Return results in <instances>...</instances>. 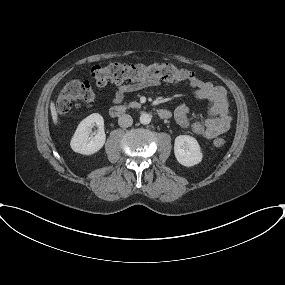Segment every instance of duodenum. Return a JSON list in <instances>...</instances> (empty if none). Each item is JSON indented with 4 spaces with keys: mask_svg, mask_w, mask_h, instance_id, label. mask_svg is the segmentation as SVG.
I'll use <instances>...</instances> for the list:
<instances>
[{
    "mask_svg": "<svg viewBox=\"0 0 285 285\" xmlns=\"http://www.w3.org/2000/svg\"><path fill=\"white\" fill-rule=\"evenodd\" d=\"M129 108L130 107L125 104H116L110 107L109 114L111 117H114V118L120 117L124 115L129 110ZM157 113L161 119H168L171 117L170 111L165 108H159L157 110Z\"/></svg>",
    "mask_w": 285,
    "mask_h": 285,
    "instance_id": "1",
    "label": "duodenum"
}]
</instances>
